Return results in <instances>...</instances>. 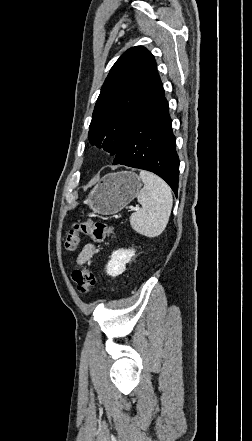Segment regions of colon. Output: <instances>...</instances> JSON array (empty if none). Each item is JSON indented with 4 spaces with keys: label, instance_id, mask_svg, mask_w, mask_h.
Listing matches in <instances>:
<instances>
[{
    "label": "colon",
    "instance_id": "obj_1",
    "mask_svg": "<svg viewBox=\"0 0 252 441\" xmlns=\"http://www.w3.org/2000/svg\"><path fill=\"white\" fill-rule=\"evenodd\" d=\"M113 232L111 226L101 221H82L70 230L65 239V249L75 251L79 246V233L91 237L96 242H101ZM72 279L81 294H87L95 284V275L88 267L77 266L72 272Z\"/></svg>",
    "mask_w": 252,
    "mask_h": 441
}]
</instances>
